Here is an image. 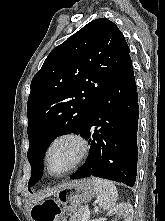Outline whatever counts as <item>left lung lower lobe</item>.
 Masks as SVG:
<instances>
[{"label":"left lung lower lobe","instance_id":"0a47b994","mask_svg":"<svg viewBox=\"0 0 165 221\" xmlns=\"http://www.w3.org/2000/svg\"><path fill=\"white\" fill-rule=\"evenodd\" d=\"M138 94L131 58L105 88L78 133L90 155L71 179L96 176L128 186L137 175Z\"/></svg>","mask_w":165,"mask_h":221}]
</instances>
